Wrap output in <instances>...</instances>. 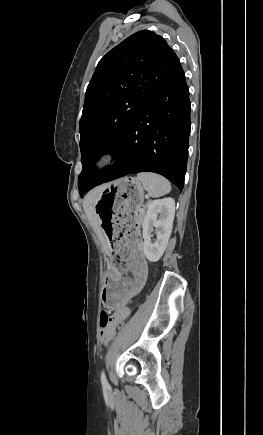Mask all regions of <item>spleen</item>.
<instances>
[{"label": "spleen", "mask_w": 263, "mask_h": 435, "mask_svg": "<svg viewBox=\"0 0 263 435\" xmlns=\"http://www.w3.org/2000/svg\"><path fill=\"white\" fill-rule=\"evenodd\" d=\"M137 178L142 183L143 188L153 198L163 196L171 191L169 181L158 174L142 172L137 174Z\"/></svg>", "instance_id": "1"}]
</instances>
